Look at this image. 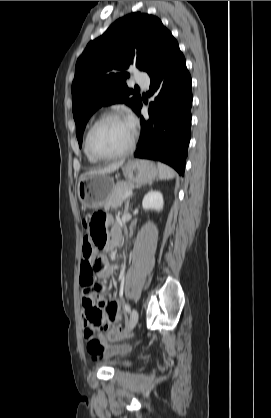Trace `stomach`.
I'll return each instance as SVG.
<instances>
[{
	"label": "stomach",
	"mask_w": 271,
	"mask_h": 418,
	"mask_svg": "<svg viewBox=\"0 0 271 418\" xmlns=\"http://www.w3.org/2000/svg\"><path fill=\"white\" fill-rule=\"evenodd\" d=\"M122 172L127 182L133 184H148L158 176L156 165L148 160H130L122 166ZM114 187L113 179L107 175H87L78 183V198L82 208L98 209L110 196Z\"/></svg>",
	"instance_id": "stomach-1"
}]
</instances>
